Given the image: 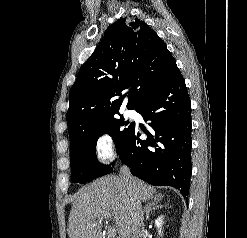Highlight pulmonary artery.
<instances>
[{
  "mask_svg": "<svg viewBox=\"0 0 247 238\" xmlns=\"http://www.w3.org/2000/svg\"><path fill=\"white\" fill-rule=\"evenodd\" d=\"M131 114H132L131 111H129V110L126 111V115L130 116Z\"/></svg>",
  "mask_w": 247,
  "mask_h": 238,
  "instance_id": "1",
  "label": "pulmonary artery"
}]
</instances>
